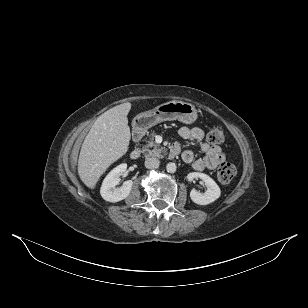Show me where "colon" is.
<instances>
[{"mask_svg": "<svg viewBox=\"0 0 308 308\" xmlns=\"http://www.w3.org/2000/svg\"><path fill=\"white\" fill-rule=\"evenodd\" d=\"M208 141L211 144H221L225 140V133L221 126L213 127L208 133ZM236 174V168L231 163H223L217 170V177L220 182H230Z\"/></svg>", "mask_w": 308, "mask_h": 308, "instance_id": "obj_1", "label": "colon"}]
</instances>
